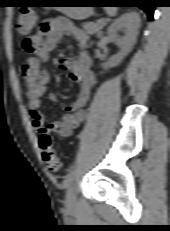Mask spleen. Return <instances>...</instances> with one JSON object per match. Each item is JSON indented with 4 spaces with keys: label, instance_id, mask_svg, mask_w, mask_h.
I'll return each instance as SVG.
<instances>
[{
    "label": "spleen",
    "instance_id": "spleen-1",
    "mask_svg": "<svg viewBox=\"0 0 170 231\" xmlns=\"http://www.w3.org/2000/svg\"><path fill=\"white\" fill-rule=\"evenodd\" d=\"M105 10L109 16H115L117 12V9L115 7H106Z\"/></svg>",
    "mask_w": 170,
    "mask_h": 231
}]
</instances>
